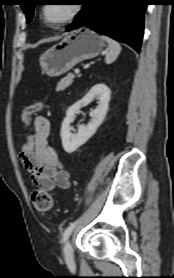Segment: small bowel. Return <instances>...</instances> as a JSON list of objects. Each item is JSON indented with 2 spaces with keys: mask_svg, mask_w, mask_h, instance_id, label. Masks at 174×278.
Listing matches in <instances>:
<instances>
[{
  "mask_svg": "<svg viewBox=\"0 0 174 278\" xmlns=\"http://www.w3.org/2000/svg\"><path fill=\"white\" fill-rule=\"evenodd\" d=\"M33 128L35 148L30 154H20V159L29 172L32 183L47 192L56 188H69L70 175L62 167L58 154L49 143L51 127L48 118L37 116Z\"/></svg>",
  "mask_w": 174,
  "mask_h": 278,
  "instance_id": "small-bowel-1",
  "label": "small bowel"
}]
</instances>
